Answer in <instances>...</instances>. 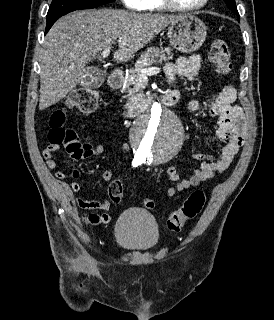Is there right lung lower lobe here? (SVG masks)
<instances>
[{"mask_svg": "<svg viewBox=\"0 0 274 320\" xmlns=\"http://www.w3.org/2000/svg\"><path fill=\"white\" fill-rule=\"evenodd\" d=\"M63 15L55 16L53 18L47 19V25H46V30L45 34L49 31V29L52 27V25L55 23L57 19H59Z\"/></svg>", "mask_w": 274, "mask_h": 320, "instance_id": "right-lung-lower-lobe-1", "label": "right lung lower lobe"}]
</instances>
